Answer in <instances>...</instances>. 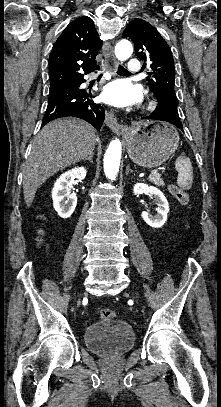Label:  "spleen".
Segmentation results:
<instances>
[{
	"label": "spleen",
	"instance_id": "spleen-1",
	"mask_svg": "<svg viewBox=\"0 0 221 407\" xmlns=\"http://www.w3.org/2000/svg\"><path fill=\"white\" fill-rule=\"evenodd\" d=\"M175 168L178 171V186L184 190H189L193 183V169L190 159L184 153L177 158Z\"/></svg>",
	"mask_w": 221,
	"mask_h": 407
}]
</instances>
